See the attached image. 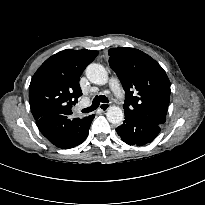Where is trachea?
I'll list each match as a JSON object with an SVG mask.
<instances>
[{
	"instance_id": "1",
	"label": "trachea",
	"mask_w": 205,
	"mask_h": 205,
	"mask_svg": "<svg viewBox=\"0 0 205 205\" xmlns=\"http://www.w3.org/2000/svg\"><path fill=\"white\" fill-rule=\"evenodd\" d=\"M100 102L102 103H108L109 100L106 96L104 95H100V96H96L94 99H93V102H92V105L88 108H85L82 110L83 113H89L93 110H95L99 105H100Z\"/></svg>"
}]
</instances>
